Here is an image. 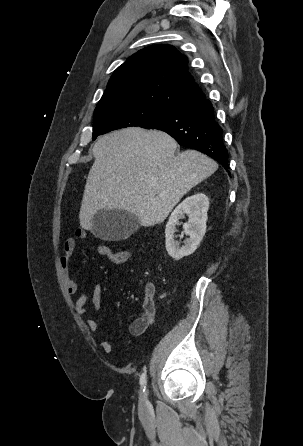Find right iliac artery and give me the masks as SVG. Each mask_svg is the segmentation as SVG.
Returning <instances> with one entry per match:
<instances>
[{"label":"right iliac artery","instance_id":"obj_1","mask_svg":"<svg viewBox=\"0 0 303 446\" xmlns=\"http://www.w3.org/2000/svg\"><path fill=\"white\" fill-rule=\"evenodd\" d=\"M140 384L142 387L145 388V385H146V374L145 373H143L140 377Z\"/></svg>","mask_w":303,"mask_h":446}]
</instances>
